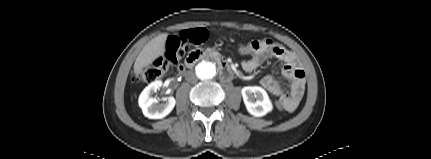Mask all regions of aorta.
I'll return each instance as SVG.
<instances>
[{"label": "aorta", "mask_w": 431, "mask_h": 159, "mask_svg": "<svg viewBox=\"0 0 431 159\" xmlns=\"http://www.w3.org/2000/svg\"><path fill=\"white\" fill-rule=\"evenodd\" d=\"M196 75L204 81L211 80L216 75V66L210 61H201L195 67Z\"/></svg>", "instance_id": "762f6f07"}]
</instances>
